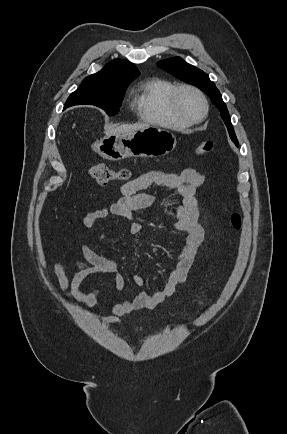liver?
<instances>
[{
    "mask_svg": "<svg viewBox=\"0 0 287 434\" xmlns=\"http://www.w3.org/2000/svg\"><path fill=\"white\" fill-rule=\"evenodd\" d=\"M148 127L147 124L144 123H137L133 125H121L115 128H110L105 131L106 135L111 134H132L133 132Z\"/></svg>",
    "mask_w": 287,
    "mask_h": 434,
    "instance_id": "6515ba94",
    "label": "liver"
}]
</instances>
